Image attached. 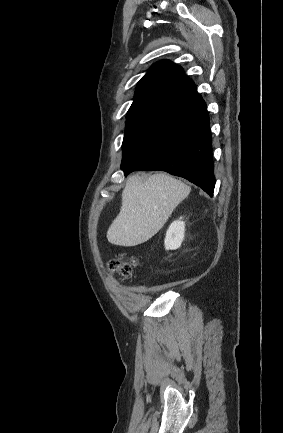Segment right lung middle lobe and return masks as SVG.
I'll return each instance as SVG.
<instances>
[{
  "mask_svg": "<svg viewBox=\"0 0 283 433\" xmlns=\"http://www.w3.org/2000/svg\"><path fill=\"white\" fill-rule=\"evenodd\" d=\"M161 113L145 110H129L127 113L125 136L122 149L124 150L137 134Z\"/></svg>",
  "mask_w": 283,
  "mask_h": 433,
  "instance_id": "dd1d6c3e",
  "label": "right lung middle lobe"
}]
</instances>
